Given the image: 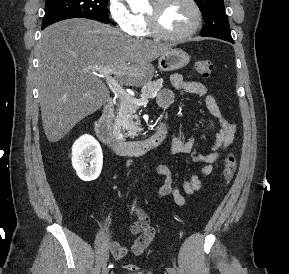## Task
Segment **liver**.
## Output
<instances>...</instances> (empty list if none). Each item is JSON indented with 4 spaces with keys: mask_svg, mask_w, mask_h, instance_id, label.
Segmentation results:
<instances>
[{
    "mask_svg": "<svg viewBox=\"0 0 289 274\" xmlns=\"http://www.w3.org/2000/svg\"><path fill=\"white\" fill-rule=\"evenodd\" d=\"M170 49V45L134 39L83 18L44 29L37 53L39 101L47 139L59 141L106 102L109 91L95 67L112 66L118 81L142 86L153 77L151 62Z\"/></svg>",
    "mask_w": 289,
    "mask_h": 274,
    "instance_id": "1",
    "label": "liver"
}]
</instances>
